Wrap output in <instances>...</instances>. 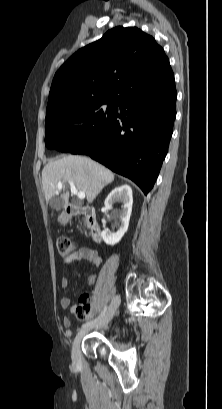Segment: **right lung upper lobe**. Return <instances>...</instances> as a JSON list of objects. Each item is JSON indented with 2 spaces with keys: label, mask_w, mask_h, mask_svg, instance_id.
Segmentation results:
<instances>
[{
  "label": "right lung upper lobe",
  "mask_w": 222,
  "mask_h": 409,
  "mask_svg": "<svg viewBox=\"0 0 222 409\" xmlns=\"http://www.w3.org/2000/svg\"><path fill=\"white\" fill-rule=\"evenodd\" d=\"M173 73L155 39L136 27H115L74 53L57 71L47 112L72 104L121 103L168 88Z\"/></svg>",
  "instance_id": "cb5924a9"
}]
</instances>
